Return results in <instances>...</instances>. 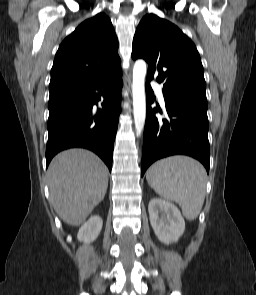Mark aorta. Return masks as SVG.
Segmentation results:
<instances>
[{"label": "aorta", "mask_w": 256, "mask_h": 295, "mask_svg": "<svg viewBox=\"0 0 256 295\" xmlns=\"http://www.w3.org/2000/svg\"><path fill=\"white\" fill-rule=\"evenodd\" d=\"M146 63L143 60H137L133 67V114L136 134L140 135L144 129L146 118V98H145V76Z\"/></svg>", "instance_id": "aorta-1"}]
</instances>
